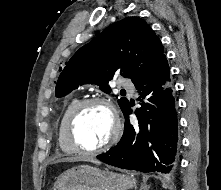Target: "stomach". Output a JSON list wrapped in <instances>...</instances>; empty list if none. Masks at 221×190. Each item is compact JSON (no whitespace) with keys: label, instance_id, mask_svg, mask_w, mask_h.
<instances>
[{"label":"stomach","instance_id":"obj_1","mask_svg":"<svg viewBox=\"0 0 221 190\" xmlns=\"http://www.w3.org/2000/svg\"><path fill=\"white\" fill-rule=\"evenodd\" d=\"M136 185L131 175L80 165L63 172L53 190H128Z\"/></svg>","mask_w":221,"mask_h":190}]
</instances>
